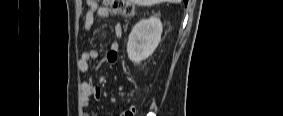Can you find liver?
<instances>
[{"label":"liver","instance_id":"6515ba94","mask_svg":"<svg viewBox=\"0 0 283 116\" xmlns=\"http://www.w3.org/2000/svg\"><path fill=\"white\" fill-rule=\"evenodd\" d=\"M172 2V3H178L180 0H135V2L139 5H153L158 4L161 2Z\"/></svg>","mask_w":283,"mask_h":116}]
</instances>
